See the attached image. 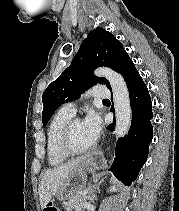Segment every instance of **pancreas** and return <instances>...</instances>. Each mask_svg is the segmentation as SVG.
Returning a JSON list of instances; mask_svg holds the SVG:
<instances>
[{
  "label": "pancreas",
  "instance_id": "1",
  "mask_svg": "<svg viewBox=\"0 0 179 211\" xmlns=\"http://www.w3.org/2000/svg\"><path fill=\"white\" fill-rule=\"evenodd\" d=\"M89 199L88 196L82 194L81 191L74 193L64 204L66 211H84L83 203Z\"/></svg>",
  "mask_w": 179,
  "mask_h": 211
}]
</instances>
